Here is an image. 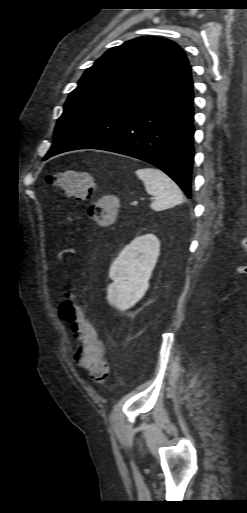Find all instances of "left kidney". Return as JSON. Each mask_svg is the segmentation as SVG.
Wrapping results in <instances>:
<instances>
[{
  "mask_svg": "<svg viewBox=\"0 0 247 513\" xmlns=\"http://www.w3.org/2000/svg\"><path fill=\"white\" fill-rule=\"evenodd\" d=\"M160 252L153 234L136 237L113 261L109 277L108 302L120 311L133 307L149 288V279Z\"/></svg>",
  "mask_w": 247,
  "mask_h": 513,
  "instance_id": "obj_1",
  "label": "left kidney"
}]
</instances>
